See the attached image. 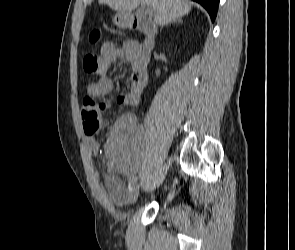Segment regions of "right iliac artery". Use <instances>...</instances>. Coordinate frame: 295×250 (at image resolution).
Here are the masks:
<instances>
[{"label":"right iliac artery","instance_id":"1","mask_svg":"<svg viewBox=\"0 0 295 250\" xmlns=\"http://www.w3.org/2000/svg\"><path fill=\"white\" fill-rule=\"evenodd\" d=\"M136 182H137V177H133L130 180L129 185H128L129 191H131L133 189V187L135 186Z\"/></svg>","mask_w":295,"mask_h":250}]
</instances>
